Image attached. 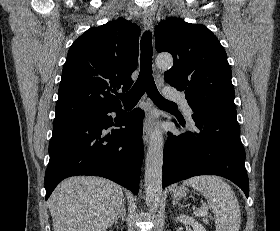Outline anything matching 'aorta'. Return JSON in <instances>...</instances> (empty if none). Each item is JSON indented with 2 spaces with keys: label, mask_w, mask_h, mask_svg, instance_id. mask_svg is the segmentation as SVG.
Returning a JSON list of instances; mask_svg holds the SVG:
<instances>
[{
  "label": "aorta",
  "mask_w": 280,
  "mask_h": 231,
  "mask_svg": "<svg viewBox=\"0 0 280 231\" xmlns=\"http://www.w3.org/2000/svg\"><path fill=\"white\" fill-rule=\"evenodd\" d=\"M158 68H171L173 58L170 54H159L156 58ZM163 133L154 127L145 159V191L146 203L149 209H157L162 191V165H163Z\"/></svg>",
  "instance_id": "1"
}]
</instances>
